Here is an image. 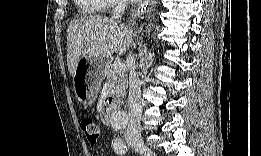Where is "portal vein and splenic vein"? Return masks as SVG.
Returning <instances> with one entry per match:
<instances>
[{
	"label": "portal vein and splenic vein",
	"mask_w": 261,
	"mask_h": 156,
	"mask_svg": "<svg viewBox=\"0 0 261 156\" xmlns=\"http://www.w3.org/2000/svg\"><path fill=\"white\" fill-rule=\"evenodd\" d=\"M114 68H115V70H116L117 72H123V71L126 70L125 64H123V63H121V62L116 63L115 66H114Z\"/></svg>",
	"instance_id": "1"
}]
</instances>
